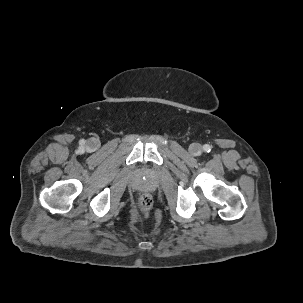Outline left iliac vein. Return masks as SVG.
I'll list each match as a JSON object with an SVG mask.
<instances>
[{"mask_svg": "<svg viewBox=\"0 0 303 303\" xmlns=\"http://www.w3.org/2000/svg\"><path fill=\"white\" fill-rule=\"evenodd\" d=\"M189 151L193 155H199L202 152V147H201V145L194 143V144L190 145Z\"/></svg>", "mask_w": 303, "mask_h": 303, "instance_id": "1", "label": "left iliac vein"}]
</instances>
